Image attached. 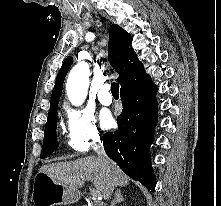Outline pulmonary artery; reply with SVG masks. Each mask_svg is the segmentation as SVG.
Returning a JSON list of instances; mask_svg holds the SVG:
<instances>
[{"label": "pulmonary artery", "instance_id": "pulmonary-artery-1", "mask_svg": "<svg viewBox=\"0 0 221 206\" xmlns=\"http://www.w3.org/2000/svg\"><path fill=\"white\" fill-rule=\"evenodd\" d=\"M98 100L103 105H110L112 103V96L110 93V85L104 84L101 86L98 93Z\"/></svg>", "mask_w": 221, "mask_h": 206}]
</instances>
